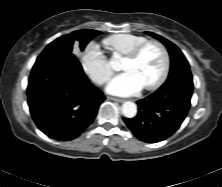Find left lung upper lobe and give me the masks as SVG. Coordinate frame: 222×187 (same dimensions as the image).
Instances as JSON below:
<instances>
[{"mask_svg": "<svg viewBox=\"0 0 222 187\" xmlns=\"http://www.w3.org/2000/svg\"><path fill=\"white\" fill-rule=\"evenodd\" d=\"M145 33L161 41L169 51L171 66H170V73L166 82L178 79L181 74L185 73L191 74L190 66L185 56L175 44L155 33L152 32H145Z\"/></svg>", "mask_w": 222, "mask_h": 187, "instance_id": "obj_1", "label": "left lung upper lobe"}]
</instances>
